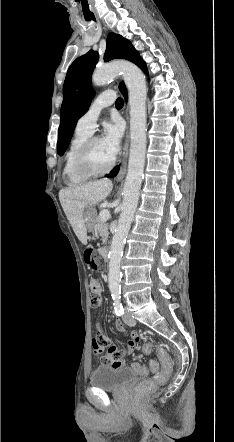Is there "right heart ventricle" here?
<instances>
[{
    "mask_svg": "<svg viewBox=\"0 0 234 442\" xmlns=\"http://www.w3.org/2000/svg\"><path fill=\"white\" fill-rule=\"evenodd\" d=\"M90 137V134L75 130L65 154L63 175L69 185H80L90 177L81 174L75 165V157L82 144Z\"/></svg>",
    "mask_w": 234,
    "mask_h": 442,
    "instance_id": "e07e8e85",
    "label": "right heart ventricle"
}]
</instances>
